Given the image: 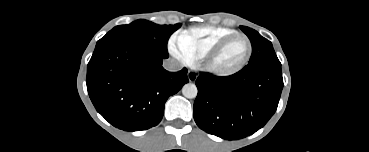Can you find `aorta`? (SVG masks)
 Wrapping results in <instances>:
<instances>
[{
	"instance_id": "762f6f07",
	"label": "aorta",
	"mask_w": 369,
	"mask_h": 152,
	"mask_svg": "<svg viewBox=\"0 0 369 152\" xmlns=\"http://www.w3.org/2000/svg\"><path fill=\"white\" fill-rule=\"evenodd\" d=\"M198 90L195 84L187 83L182 87V94L188 99L195 98L197 96Z\"/></svg>"
}]
</instances>
